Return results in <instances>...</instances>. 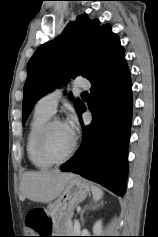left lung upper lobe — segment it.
I'll use <instances>...</instances> for the list:
<instances>
[{"label":"left lung upper lobe","mask_w":158,"mask_h":237,"mask_svg":"<svg viewBox=\"0 0 158 237\" xmlns=\"http://www.w3.org/2000/svg\"><path fill=\"white\" fill-rule=\"evenodd\" d=\"M124 48L109 24L100 25L86 14L69 23L62 34L37 48L27 65L22 123L38 99L70 78L91 83L107 75L124 58ZM83 102L76 103L79 112Z\"/></svg>","instance_id":"1"}]
</instances>
